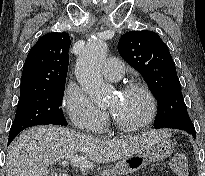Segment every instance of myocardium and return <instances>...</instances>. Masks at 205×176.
Returning <instances> with one entry per match:
<instances>
[{
    "instance_id": "1",
    "label": "myocardium",
    "mask_w": 205,
    "mask_h": 176,
    "mask_svg": "<svg viewBox=\"0 0 205 176\" xmlns=\"http://www.w3.org/2000/svg\"><path fill=\"white\" fill-rule=\"evenodd\" d=\"M132 92H140L147 98L149 103V112L143 121L135 125L125 124L121 122L113 113H111V117L114 125L118 129L126 132H134L147 127L153 121L157 113L156 98L147 86L141 83H132L124 86L123 93H132Z\"/></svg>"
}]
</instances>
